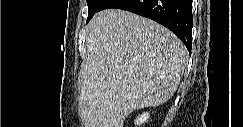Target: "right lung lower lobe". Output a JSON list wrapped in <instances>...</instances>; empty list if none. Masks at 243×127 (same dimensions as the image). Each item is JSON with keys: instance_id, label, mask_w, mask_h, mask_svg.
Returning a JSON list of instances; mask_svg holds the SVG:
<instances>
[{"instance_id": "98d812e1", "label": "right lung lower lobe", "mask_w": 243, "mask_h": 127, "mask_svg": "<svg viewBox=\"0 0 243 127\" xmlns=\"http://www.w3.org/2000/svg\"><path fill=\"white\" fill-rule=\"evenodd\" d=\"M124 9L150 18L170 29L191 53L192 0H106L99 11Z\"/></svg>"}]
</instances>
